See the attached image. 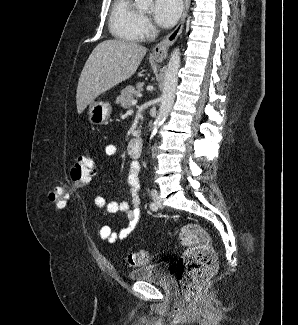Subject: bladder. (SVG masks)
<instances>
[{
    "instance_id": "31cf9c89",
    "label": "bladder",
    "mask_w": 298,
    "mask_h": 325,
    "mask_svg": "<svg viewBox=\"0 0 298 325\" xmlns=\"http://www.w3.org/2000/svg\"><path fill=\"white\" fill-rule=\"evenodd\" d=\"M128 277L133 281L148 282L169 291L174 288L172 276L159 264L141 266L132 270Z\"/></svg>"
}]
</instances>
